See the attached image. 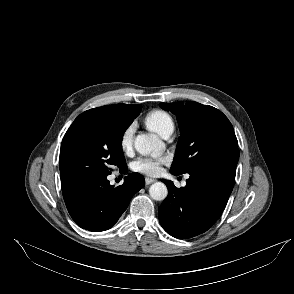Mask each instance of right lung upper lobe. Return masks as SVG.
<instances>
[{
	"instance_id": "1",
	"label": "right lung upper lobe",
	"mask_w": 294,
	"mask_h": 294,
	"mask_svg": "<svg viewBox=\"0 0 294 294\" xmlns=\"http://www.w3.org/2000/svg\"><path fill=\"white\" fill-rule=\"evenodd\" d=\"M102 108L111 109L119 112L124 117H134L138 116L141 111L140 105H129V104H115V105H106Z\"/></svg>"
}]
</instances>
